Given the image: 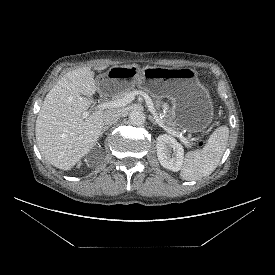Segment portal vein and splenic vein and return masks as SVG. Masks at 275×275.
Listing matches in <instances>:
<instances>
[{"label": "portal vein and splenic vein", "instance_id": "obj_1", "mask_svg": "<svg viewBox=\"0 0 275 275\" xmlns=\"http://www.w3.org/2000/svg\"><path fill=\"white\" fill-rule=\"evenodd\" d=\"M136 95H141L143 96V98L146 101V104L148 106L149 111L151 112V114L153 115L154 119L156 120V122L158 123V125L160 127H162L165 131H167L168 133H170L171 135L177 137L180 139L181 142H183L186 146L189 145L188 140L183 137L181 134H179L177 131H175L174 129L167 127L163 121L162 118H160L154 108L153 105V101L152 99L149 97V95L143 91H132L130 93H128L127 95H125L123 98L121 99H116V100H112V101H108V102H103L100 105L96 106L95 109H110V108H120L123 106H126L127 104L131 103L134 99ZM89 115V111H86L83 113L84 117H87Z\"/></svg>", "mask_w": 275, "mask_h": 275}]
</instances>
